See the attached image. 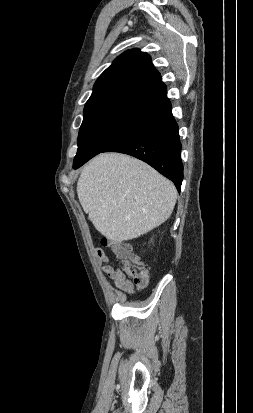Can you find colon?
<instances>
[{
    "label": "colon",
    "mask_w": 253,
    "mask_h": 413,
    "mask_svg": "<svg viewBox=\"0 0 253 413\" xmlns=\"http://www.w3.org/2000/svg\"><path fill=\"white\" fill-rule=\"evenodd\" d=\"M102 245L109 247L110 251L123 263L125 274L138 286L148 283L149 272L142 260L133 252L132 247L123 241H111L106 238Z\"/></svg>",
    "instance_id": "colon-1"
}]
</instances>
